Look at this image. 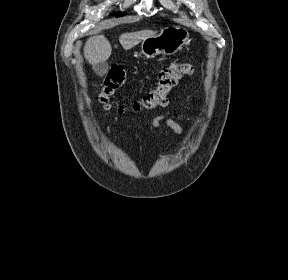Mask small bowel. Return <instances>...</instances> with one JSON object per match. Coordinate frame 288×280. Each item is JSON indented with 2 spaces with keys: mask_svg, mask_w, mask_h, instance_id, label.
<instances>
[{
  "mask_svg": "<svg viewBox=\"0 0 288 280\" xmlns=\"http://www.w3.org/2000/svg\"><path fill=\"white\" fill-rule=\"evenodd\" d=\"M152 126L153 127L165 126V127L170 128L177 134H181L184 131L183 127L179 123H177L175 120L165 115H160V116L155 117L152 120Z\"/></svg>",
  "mask_w": 288,
  "mask_h": 280,
  "instance_id": "c3829d8e",
  "label": "small bowel"
}]
</instances>
